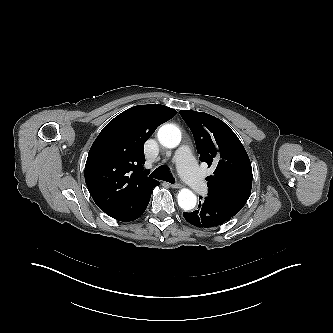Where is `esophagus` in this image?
Wrapping results in <instances>:
<instances>
[{"label":"esophagus","instance_id":"esophagus-1","mask_svg":"<svg viewBox=\"0 0 333 333\" xmlns=\"http://www.w3.org/2000/svg\"><path fill=\"white\" fill-rule=\"evenodd\" d=\"M169 185H170V187H172V188H174V189H178V188H181V187H182V185L179 184V183H174V184H169Z\"/></svg>","mask_w":333,"mask_h":333}]
</instances>
